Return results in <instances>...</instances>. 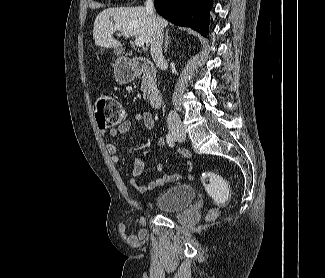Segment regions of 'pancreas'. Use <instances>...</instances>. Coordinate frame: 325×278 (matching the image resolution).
<instances>
[{
    "mask_svg": "<svg viewBox=\"0 0 325 278\" xmlns=\"http://www.w3.org/2000/svg\"><path fill=\"white\" fill-rule=\"evenodd\" d=\"M144 97H146V91L143 92Z\"/></svg>",
    "mask_w": 325,
    "mask_h": 278,
    "instance_id": "pancreas-1",
    "label": "pancreas"
}]
</instances>
